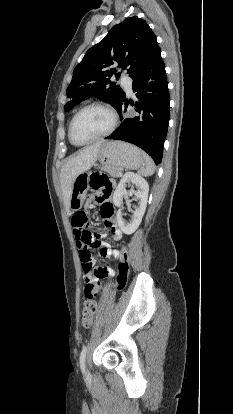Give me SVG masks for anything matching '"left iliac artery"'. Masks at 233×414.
I'll return each instance as SVG.
<instances>
[{
    "label": "left iliac artery",
    "instance_id": "obj_1",
    "mask_svg": "<svg viewBox=\"0 0 233 414\" xmlns=\"http://www.w3.org/2000/svg\"><path fill=\"white\" fill-rule=\"evenodd\" d=\"M87 349H88V346H85L82 349L81 354H80V368L83 373L85 372V358H86Z\"/></svg>",
    "mask_w": 233,
    "mask_h": 414
}]
</instances>
